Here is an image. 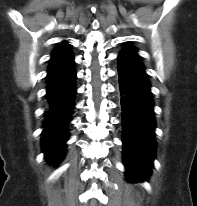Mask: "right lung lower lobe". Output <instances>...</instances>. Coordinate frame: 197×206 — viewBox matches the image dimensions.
Here are the masks:
<instances>
[{"label": "right lung lower lobe", "mask_w": 197, "mask_h": 206, "mask_svg": "<svg viewBox=\"0 0 197 206\" xmlns=\"http://www.w3.org/2000/svg\"><path fill=\"white\" fill-rule=\"evenodd\" d=\"M73 60L66 69L47 81L46 98L49 106L45 113L41 142L45 158L54 163L65 155L69 138L68 123L72 120L75 106L76 71Z\"/></svg>", "instance_id": "1"}]
</instances>
